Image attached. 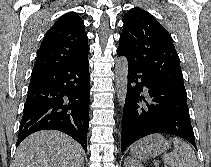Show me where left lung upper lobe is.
<instances>
[{
  "label": "left lung upper lobe",
  "instance_id": "left-lung-upper-lobe-1",
  "mask_svg": "<svg viewBox=\"0 0 211 167\" xmlns=\"http://www.w3.org/2000/svg\"><path fill=\"white\" fill-rule=\"evenodd\" d=\"M119 48L127 60L157 82L187 95L180 59L168 31L147 11L132 8L123 16Z\"/></svg>",
  "mask_w": 211,
  "mask_h": 167
}]
</instances>
